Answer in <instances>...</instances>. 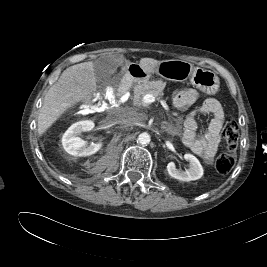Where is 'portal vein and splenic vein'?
<instances>
[{"label":"portal vein and splenic vein","mask_w":267,"mask_h":267,"mask_svg":"<svg viewBox=\"0 0 267 267\" xmlns=\"http://www.w3.org/2000/svg\"><path fill=\"white\" fill-rule=\"evenodd\" d=\"M156 99H159V98H156L153 94H146L143 98H142V101L146 104H150L152 102H154ZM162 105L164 107H167L165 101H162Z\"/></svg>","instance_id":"portal-vein-and-splenic-vein-1"}]
</instances>
